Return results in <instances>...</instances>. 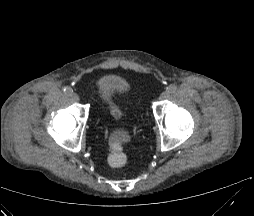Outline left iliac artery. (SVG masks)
I'll return each instance as SVG.
<instances>
[{"label": "left iliac artery", "mask_w": 254, "mask_h": 216, "mask_svg": "<svg viewBox=\"0 0 254 216\" xmlns=\"http://www.w3.org/2000/svg\"><path fill=\"white\" fill-rule=\"evenodd\" d=\"M177 90V86L175 84H171L167 87V91L169 93H174Z\"/></svg>", "instance_id": "obj_1"}]
</instances>
